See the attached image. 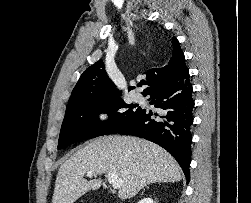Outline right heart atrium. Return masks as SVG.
Here are the masks:
<instances>
[{"label":"right heart atrium","instance_id":"1","mask_svg":"<svg viewBox=\"0 0 251 203\" xmlns=\"http://www.w3.org/2000/svg\"><path fill=\"white\" fill-rule=\"evenodd\" d=\"M97 119H98L100 122H105V121L108 119V114L105 113V112H100V113L97 115Z\"/></svg>","mask_w":251,"mask_h":203}]
</instances>
